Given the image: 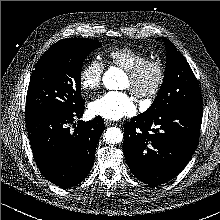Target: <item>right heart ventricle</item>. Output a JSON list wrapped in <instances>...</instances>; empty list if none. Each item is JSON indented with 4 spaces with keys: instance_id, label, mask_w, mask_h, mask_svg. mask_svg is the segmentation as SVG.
I'll list each match as a JSON object with an SVG mask.
<instances>
[{
    "instance_id": "1",
    "label": "right heart ventricle",
    "mask_w": 220,
    "mask_h": 220,
    "mask_svg": "<svg viewBox=\"0 0 220 220\" xmlns=\"http://www.w3.org/2000/svg\"><path fill=\"white\" fill-rule=\"evenodd\" d=\"M108 62L111 65L129 71L149 57L145 53L138 52L129 47L117 48L106 53Z\"/></svg>"
}]
</instances>
